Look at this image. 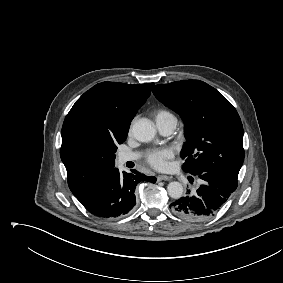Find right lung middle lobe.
<instances>
[{"label":"right lung middle lobe","mask_w":283,"mask_h":283,"mask_svg":"<svg viewBox=\"0 0 283 283\" xmlns=\"http://www.w3.org/2000/svg\"><path fill=\"white\" fill-rule=\"evenodd\" d=\"M125 139H126V137H124L123 139H121L120 141H118L117 144L123 143V142L125 141ZM116 150H117V147L115 146V147H114V152H116Z\"/></svg>","instance_id":"1"}]
</instances>
